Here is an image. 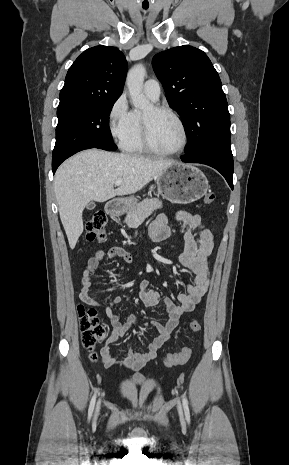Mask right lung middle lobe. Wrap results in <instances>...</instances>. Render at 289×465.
<instances>
[{
    "label": "right lung middle lobe",
    "mask_w": 289,
    "mask_h": 465,
    "mask_svg": "<svg viewBox=\"0 0 289 465\" xmlns=\"http://www.w3.org/2000/svg\"><path fill=\"white\" fill-rule=\"evenodd\" d=\"M117 99L57 109L58 124L52 162L89 148L116 150L108 116Z\"/></svg>",
    "instance_id": "dd1d6c3e"
}]
</instances>
